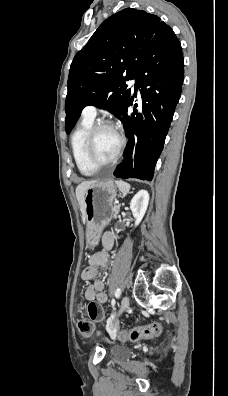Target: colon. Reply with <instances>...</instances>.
Wrapping results in <instances>:
<instances>
[{"instance_id": "5ec220e1", "label": "colon", "mask_w": 228, "mask_h": 396, "mask_svg": "<svg viewBox=\"0 0 228 396\" xmlns=\"http://www.w3.org/2000/svg\"><path fill=\"white\" fill-rule=\"evenodd\" d=\"M87 311L90 319H81L78 322L79 332L84 338L92 336L94 332L93 322H100L104 318V311L98 303H90ZM160 332V324L151 323L149 325L135 327L130 330H121L118 332L117 337L121 341H136L142 338L158 336Z\"/></svg>"}]
</instances>
